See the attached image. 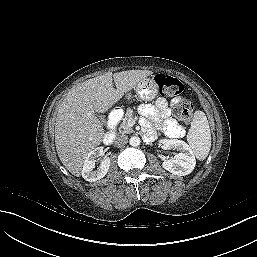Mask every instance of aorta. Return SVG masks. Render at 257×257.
<instances>
[{"label":"aorta","mask_w":257,"mask_h":257,"mask_svg":"<svg viewBox=\"0 0 257 257\" xmlns=\"http://www.w3.org/2000/svg\"><path fill=\"white\" fill-rule=\"evenodd\" d=\"M140 138L138 136H132L129 140V143L133 147H137L140 145Z\"/></svg>","instance_id":"762f6f07"}]
</instances>
